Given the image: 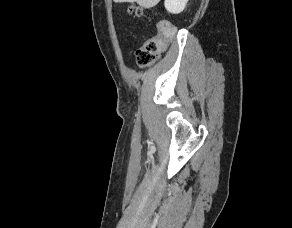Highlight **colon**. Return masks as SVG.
Returning a JSON list of instances; mask_svg holds the SVG:
<instances>
[{
	"instance_id": "5ec220e1",
	"label": "colon",
	"mask_w": 292,
	"mask_h": 228,
	"mask_svg": "<svg viewBox=\"0 0 292 228\" xmlns=\"http://www.w3.org/2000/svg\"><path fill=\"white\" fill-rule=\"evenodd\" d=\"M130 13L135 16H142L144 11L139 7H132ZM174 30L169 24H160L158 34L147 39L136 49V60L140 67H147L154 63L160 52L173 37Z\"/></svg>"
}]
</instances>
